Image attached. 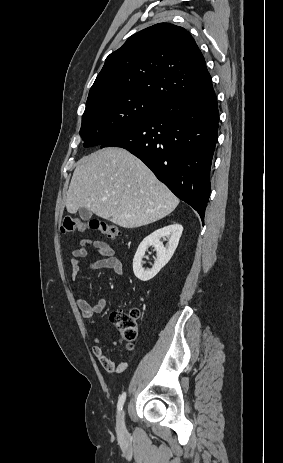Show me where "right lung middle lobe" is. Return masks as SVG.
Instances as JSON below:
<instances>
[{
    "mask_svg": "<svg viewBox=\"0 0 283 463\" xmlns=\"http://www.w3.org/2000/svg\"><path fill=\"white\" fill-rule=\"evenodd\" d=\"M160 104L141 95L116 92L87 101L80 135L84 146L103 144L145 120Z\"/></svg>",
    "mask_w": 283,
    "mask_h": 463,
    "instance_id": "1",
    "label": "right lung middle lobe"
}]
</instances>
